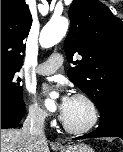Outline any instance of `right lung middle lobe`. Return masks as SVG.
<instances>
[{"instance_id": "dd1d6c3e", "label": "right lung middle lobe", "mask_w": 123, "mask_h": 152, "mask_svg": "<svg viewBox=\"0 0 123 152\" xmlns=\"http://www.w3.org/2000/svg\"><path fill=\"white\" fill-rule=\"evenodd\" d=\"M19 69L1 67V104L15 107L25 106L22 99V86L20 78L16 77Z\"/></svg>"}]
</instances>
